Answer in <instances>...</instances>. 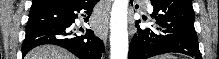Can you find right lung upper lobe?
Wrapping results in <instances>:
<instances>
[{"mask_svg":"<svg viewBox=\"0 0 219 59\" xmlns=\"http://www.w3.org/2000/svg\"><path fill=\"white\" fill-rule=\"evenodd\" d=\"M69 0H32V8L34 9L36 7H39L41 5H51V4H60L65 3Z\"/></svg>","mask_w":219,"mask_h":59,"instance_id":"cb5924a9","label":"right lung upper lobe"}]
</instances>
